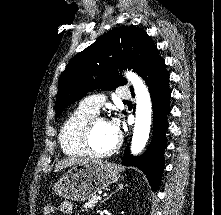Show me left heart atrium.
Returning a JSON list of instances; mask_svg holds the SVG:
<instances>
[{
	"mask_svg": "<svg viewBox=\"0 0 221 215\" xmlns=\"http://www.w3.org/2000/svg\"><path fill=\"white\" fill-rule=\"evenodd\" d=\"M109 124H110V127H111L112 132H113L116 136H118V135H119V124H118V122L112 121V122H110Z\"/></svg>",
	"mask_w": 221,
	"mask_h": 215,
	"instance_id": "left-heart-atrium-1",
	"label": "left heart atrium"
}]
</instances>
